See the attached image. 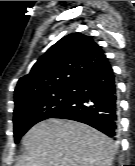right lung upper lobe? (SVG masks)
Here are the masks:
<instances>
[{
    "label": "right lung upper lobe",
    "instance_id": "cb5924a9",
    "mask_svg": "<svg viewBox=\"0 0 135 166\" xmlns=\"http://www.w3.org/2000/svg\"><path fill=\"white\" fill-rule=\"evenodd\" d=\"M107 62L92 37L72 33L60 39L19 79L15 108L75 86L77 81Z\"/></svg>",
    "mask_w": 135,
    "mask_h": 166
}]
</instances>
